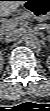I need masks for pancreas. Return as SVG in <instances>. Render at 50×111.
<instances>
[{"mask_svg": "<svg viewBox=\"0 0 50 111\" xmlns=\"http://www.w3.org/2000/svg\"><path fill=\"white\" fill-rule=\"evenodd\" d=\"M26 18H30V16H19L18 18L7 20L5 27L14 28L18 24L24 26L26 23V21H25Z\"/></svg>", "mask_w": 50, "mask_h": 111, "instance_id": "obj_1", "label": "pancreas"}]
</instances>
